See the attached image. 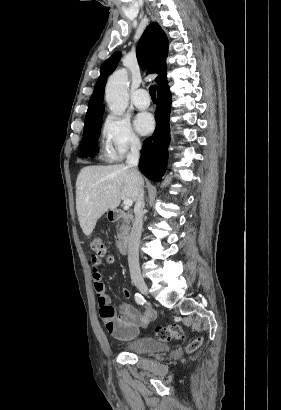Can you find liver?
<instances>
[{"label": "liver", "mask_w": 281, "mask_h": 410, "mask_svg": "<svg viewBox=\"0 0 281 410\" xmlns=\"http://www.w3.org/2000/svg\"><path fill=\"white\" fill-rule=\"evenodd\" d=\"M143 178L124 164L86 166L76 181V210L83 233L89 236L97 220L121 200L136 201Z\"/></svg>", "instance_id": "liver-1"}]
</instances>
